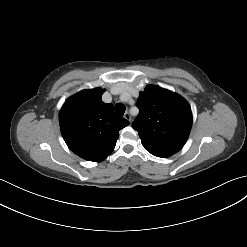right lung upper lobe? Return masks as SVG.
Listing matches in <instances>:
<instances>
[{
  "instance_id": "1",
  "label": "right lung upper lobe",
  "mask_w": 247,
  "mask_h": 247,
  "mask_svg": "<svg viewBox=\"0 0 247 247\" xmlns=\"http://www.w3.org/2000/svg\"><path fill=\"white\" fill-rule=\"evenodd\" d=\"M105 89L83 90L67 99L60 110L62 136L69 149L87 161L100 162L114 150L119 130L129 122L101 100Z\"/></svg>"
}]
</instances>
